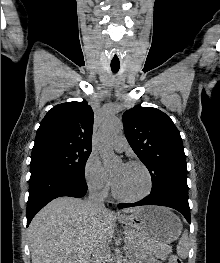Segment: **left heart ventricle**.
Here are the masks:
<instances>
[{
    "instance_id": "left-heart-ventricle-1",
    "label": "left heart ventricle",
    "mask_w": 220,
    "mask_h": 263,
    "mask_svg": "<svg viewBox=\"0 0 220 263\" xmlns=\"http://www.w3.org/2000/svg\"><path fill=\"white\" fill-rule=\"evenodd\" d=\"M112 175L116 189L123 196L135 197L147 188V176L139 166L118 163L112 169Z\"/></svg>"
}]
</instances>
